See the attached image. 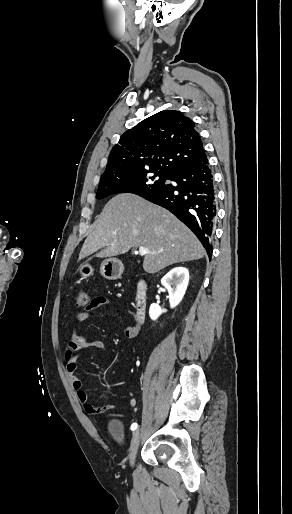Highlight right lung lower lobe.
Wrapping results in <instances>:
<instances>
[{
  "instance_id": "98d812e1",
  "label": "right lung lower lobe",
  "mask_w": 292,
  "mask_h": 514,
  "mask_svg": "<svg viewBox=\"0 0 292 514\" xmlns=\"http://www.w3.org/2000/svg\"><path fill=\"white\" fill-rule=\"evenodd\" d=\"M176 184H163L142 197L160 205L187 225L212 255L211 234L216 216V192L207 156L170 175Z\"/></svg>"
}]
</instances>
